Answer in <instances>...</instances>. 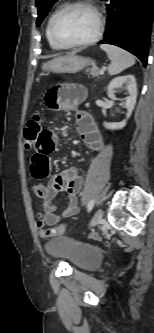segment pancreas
I'll use <instances>...</instances> for the list:
<instances>
[{"instance_id":"obj_1","label":"pancreas","mask_w":154,"mask_h":333,"mask_svg":"<svg viewBox=\"0 0 154 333\" xmlns=\"http://www.w3.org/2000/svg\"><path fill=\"white\" fill-rule=\"evenodd\" d=\"M87 72H89V74L92 75L93 77H97V76L100 75L98 69H94V68H93V69H90V71L87 70Z\"/></svg>"}]
</instances>
